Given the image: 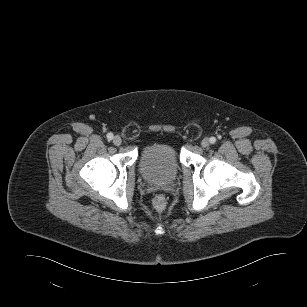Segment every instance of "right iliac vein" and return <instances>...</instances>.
I'll return each mask as SVG.
<instances>
[{"label": "right iliac vein", "instance_id": "1", "mask_svg": "<svg viewBox=\"0 0 307 307\" xmlns=\"http://www.w3.org/2000/svg\"><path fill=\"white\" fill-rule=\"evenodd\" d=\"M113 143H114V145H116V146L121 145V143H122L121 137L115 136V137L113 138Z\"/></svg>", "mask_w": 307, "mask_h": 307}]
</instances>
